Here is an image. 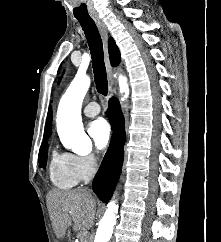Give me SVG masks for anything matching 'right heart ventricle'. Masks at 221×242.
Masks as SVG:
<instances>
[{"mask_svg":"<svg viewBox=\"0 0 221 242\" xmlns=\"http://www.w3.org/2000/svg\"><path fill=\"white\" fill-rule=\"evenodd\" d=\"M49 176L51 182L58 188L68 189L76 185L78 179L72 166L71 155L58 154L54 151L49 165Z\"/></svg>","mask_w":221,"mask_h":242,"instance_id":"obj_1","label":"right heart ventricle"}]
</instances>
